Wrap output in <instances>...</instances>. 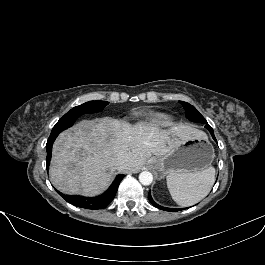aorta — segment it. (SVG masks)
Listing matches in <instances>:
<instances>
[{"label":"aorta","instance_id":"762f6f07","mask_svg":"<svg viewBox=\"0 0 265 265\" xmlns=\"http://www.w3.org/2000/svg\"><path fill=\"white\" fill-rule=\"evenodd\" d=\"M139 181L142 185H150L153 181L152 173L143 171L139 174Z\"/></svg>","mask_w":265,"mask_h":265}]
</instances>
